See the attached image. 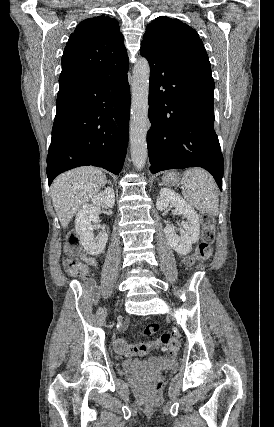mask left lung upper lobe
<instances>
[{"label":"left lung upper lobe","mask_w":274,"mask_h":427,"mask_svg":"<svg viewBox=\"0 0 274 427\" xmlns=\"http://www.w3.org/2000/svg\"><path fill=\"white\" fill-rule=\"evenodd\" d=\"M141 47L185 73L214 81L209 58L198 33L178 19L163 16L148 24Z\"/></svg>","instance_id":"5c2ea615"}]
</instances>
